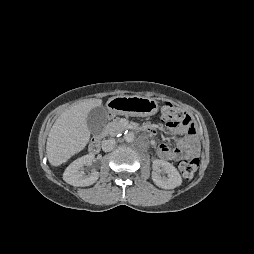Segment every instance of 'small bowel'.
<instances>
[{
    "instance_id": "obj_1",
    "label": "small bowel",
    "mask_w": 254,
    "mask_h": 254,
    "mask_svg": "<svg viewBox=\"0 0 254 254\" xmlns=\"http://www.w3.org/2000/svg\"><path fill=\"white\" fill-rule=\"evenodd\" d=\"M145 128L149 129L151 133H154L155 130L152 125H145ZM175 134H184L186 132L185 127L174 128ZM176 148L171 149L168 143H162L158 147V155L164 160H177L181 154L188 153L195 155L198 153V144L193 135L188 134L184 137H178L175 139Z\"/></svg>"
}]
</instances>
